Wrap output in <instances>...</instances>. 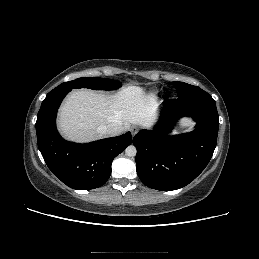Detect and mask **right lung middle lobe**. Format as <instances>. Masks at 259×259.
Instances as JSON below:
<instances>
[{
	"instance_id": "right-lung-middle-lobe-1",
	"label": "right lung middle lobe",
	"mask_w": 259,
	"mask_h": 259,
	"mask_svg": "<svg viewBox=\"0 0 259 259\" xmlns=\"http://www.w3.org/2000/svg\"><path fill=\"white\" fill-rule=\"evenodd\" d=\"M121 86V83L112 80V79H105V78H99V77H84V78H78L73 81L64 82L57 86L55 89H53L51 92L63 90V89H69L72 90L74 88H89L94 90H113L117 89Z\"/></svg>"
}]
</instances>
